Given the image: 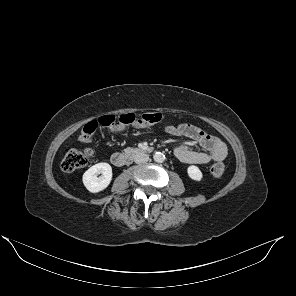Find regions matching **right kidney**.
Masks as SVG:
<instances>
[{
  "mask_svg": "<svg viewBox=\"0 0 296 296\" xmlns=\"http://www.w3.org/2000/svg\"><path fill=\"white\" fill-rule=\"evenodd\" d=\"M102 174L97 177V174ZM112 167L108 163H98L83 174V184L91 193H98L108 187L112 180Z\"/></svg>",
  "mask_w": 296,
  "mask_h": 296,
  "instance_id": "right-kidney-1",
  "label": "right kidney"
}]
</instances>
